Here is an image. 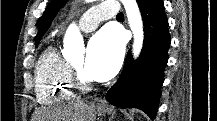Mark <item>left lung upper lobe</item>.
Returning a JSON list of instances; mask_svg holds the SVG:
<instances>
[{"instance_id": "5c2ea615", "label": "left lung upper lobe", "mask_w": 217, "mask_h": 121, "mask_svg": "<svg viewBox=\"0 0 217 121\" xmlns=\"http://www.w3.org/2000/svg\"><path fill=\"white\" fill-rule=\"evenodd\" d=\"M67 0H52L47 8L45 9L43 15L38 21V33L35 39V44L37 45L41 40L42 36L45 34L46 30L49 28L51 21L55 17L59 8L66 3Z\"/></svg>"}]
</instances>
